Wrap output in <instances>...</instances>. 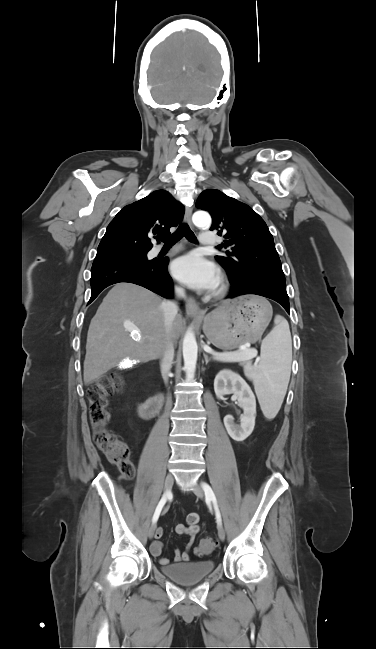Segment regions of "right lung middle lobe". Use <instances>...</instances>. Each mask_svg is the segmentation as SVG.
<instances>
[{
    "label": "right lung middle lobe",
    "instance_id": "1",
    "mask_svg": "<svg viewBox=\"0 0 376 649\" xmlns=\"http://www.w3.org/2000/svg\"><path fill=\"white\" fill-rule=\"evenodd\" d=\"M147 252H117L109 254L96 255L93 264L109 260H140L147 261Z\"/></svg>",
    "mask_w": 376,
    "mask_h": 649
}]
</instances>
